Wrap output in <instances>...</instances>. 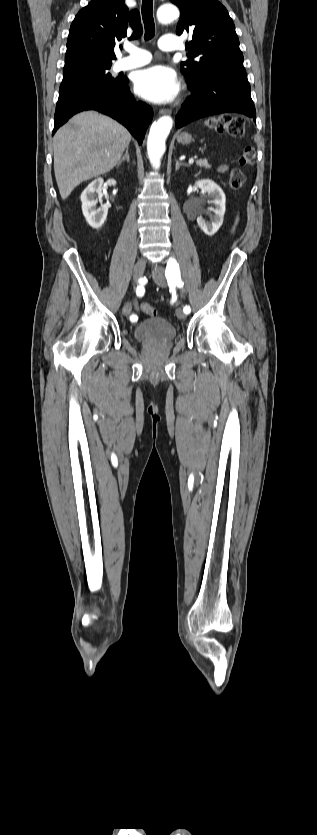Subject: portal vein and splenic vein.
<instances>
[{"label":"portal vein and splenic vein","mask_w":317,"mask_h":835,"mask_svg":"<svg viewBox=\"0 0 317 835\" xmlns=\"http://www.w3.org/2000/svg\"><path fill=\"white\" fill-rule=\"evenodd\" d=\"M193 161H194V160H193V158H191V159L189 160V162H190V163H192Z\"/></svg>","instance_id":"1"}]
</instances>
